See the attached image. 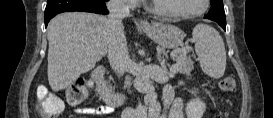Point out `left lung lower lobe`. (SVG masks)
<instances>
[{
	"instance_id": "0a47b994",
	"label": "left lung lower lobe",
	"mask_w": 273,
	"mask_h": 118,
	"mask_svg": "<svg viewBox=\"0 0 273 118\" xmlns=\"http://www.w3.org/2000/svg\"><path fill=\"white\" fill-rule=\"evenodd\" d=\"M224 30H226V23H218Z\"/></svg>"
}]
</instances>
